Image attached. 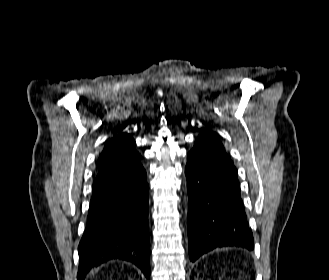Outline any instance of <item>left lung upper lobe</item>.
Here are the masks:
<instances>
[{"label":"left lung upper lobe","mask_w":329,"mask_h":280,"mask_svg":"<svg viewBox=\"0 0 329 280\" xmlns=\"http://www.w3.org/2000/svg\"><path fill=\"white\" fill-rule=\"evenodd\" d=\"M224 152V147L217 135L211 130L203 128L193 149L188 154L187 162L199 169L212 171L217 165V154Z\"/></svg>","instance_id":"1"}]
</instances>
